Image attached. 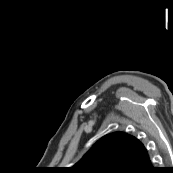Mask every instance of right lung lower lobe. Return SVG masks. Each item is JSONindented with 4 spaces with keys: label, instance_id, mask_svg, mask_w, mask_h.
Here are the masks:
<instances>
[{
    "label": "right lung lower lobe",
    "instance_id": "1",
    "mask_svg": "<svg viewBox=\"0 0 173 173\" xmlns=\"http://www.w3.org/2000/svg\"><path fill=\"white\" fill-rule=\"evenodd\" d=\"M125 173H156V169L152 167L149 157L137 162Z\"/></svg>",
    "mask_w": 173,
    "mask_h": 173
}]
</instances>
